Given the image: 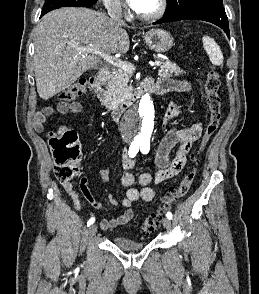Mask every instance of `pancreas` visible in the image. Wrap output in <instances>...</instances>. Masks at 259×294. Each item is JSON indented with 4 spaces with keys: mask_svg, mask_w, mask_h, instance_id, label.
Segmentation results:
<instances>
[{
    "mask_svg": "<svg viewBox=\"0 0 259 294\" xmlns=\"http://www.w3.org/2000/svg\"><path fill=\"white\" fill-rule=\"evenodd\" d=\"M183 73L185 72L180 67L170 61L164 62L158 71L161 77L179 76ZM129 78V72L121 68L113 70L102 89V103L106 107L126 105L132 100V97L128 96L131 93V87L128 86Z\"/></svg>",
    "mask_w": 259,
    "mask_h": 294,
    "instance_id": "obj_1",
    "label": "pancreas"
}]
</instances>
